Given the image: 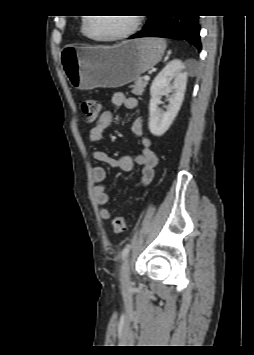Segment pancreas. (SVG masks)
I'll return each instance as SVG.
<instances>
[{
  "mask_svg": "<svg viewBox=\"0 0 254 355\" xmlns=\"http://www.w3.org/2000/svg\"><path fill=\"white\" fill-rule=\"evenodd\" d=\"M147 81H143L142 79H138L132 87V93L137 96H141L144 92L145 87L147 86Z\"/></svg>",
  "mask_w": 254,
  "mask_h": 355,
  "instance_id": "cf45deb5",
  "label": "pancreas"
}]
</instances>
